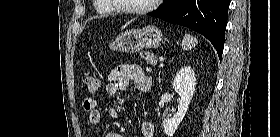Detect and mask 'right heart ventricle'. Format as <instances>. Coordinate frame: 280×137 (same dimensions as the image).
I'll return each mask as SVG.
<instances>
[{
    "mask_svg": "<svg viewBox=\"0 0 280 137\" xmlns=\"http://www.w3.org/2000/svg\"><path fill=\"white\" fill-rule=\"evenodd\" d=\"M94 2V11L101 17L108 16L113 12L107 0H94Z\"/></svg>",
    "mask_w": 280,
    "mask_h": 137,
    "instance_id": "right-heart-ventricle-1",
    "label": "right heart ventricle"
}]
</instances>
